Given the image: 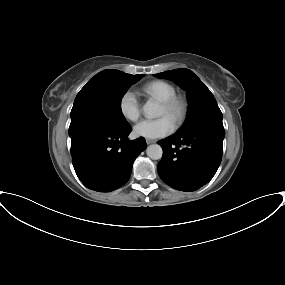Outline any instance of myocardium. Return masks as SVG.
I'll return each instance as SVG.
<instances>
[{
    "instance_id": "1",
    "label": "myocardium",
    "mask_w": 285,
    "mask_h": 285,
    "mask_svg": "<svg viewBox=\"0 0 285 285\" xmlns=\"http://www.w3.org/2000/svg\"><path fill=\"white\" fill-rule=\"evenodd\" d=\"M161 105L173 115V121L176 127L184 123L190 108L189 101L185 96L175 94L169 99L161 101Z\"/></svg>"
}]
</instances>
